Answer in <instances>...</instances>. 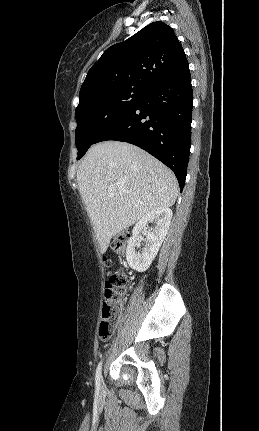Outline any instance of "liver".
<instances>
[{"label":"liver","mask_w":259,"mask_h":431,"mask_svg":"<svg viewBox=\"0 0 259 431\" xmlns=\"http://www.w3.org/2000/svg\"><path fill=\"white\" fill-rule=\"evenodd\" d=\"M77 183L102 254L117 233L154 209L171 207L179 189L168 167L120 141L93 145L77 171Z\"/></svg>","instance_id":"1"}]
</instances>
